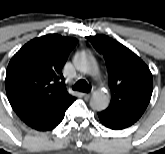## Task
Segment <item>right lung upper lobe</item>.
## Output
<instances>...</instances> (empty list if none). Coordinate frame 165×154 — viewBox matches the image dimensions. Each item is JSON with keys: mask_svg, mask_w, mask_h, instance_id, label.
<instances>
[{"mask_svg": "<svg viewBox=\"0 0 165 154\" xmlns=\"http://www.w3.org/2000/svg\"><path fill=\"white\" fill-rule=\"evenodd\" d=\"M76 42L75 38L48 34L31 40L12 57L5 87L20 118L69 94L62 67Z\"/></svg>", "mask_w": 165, "mask_h": 154, "instance_id": "1", "label": "right lung upper lobe"}]
</instances>
